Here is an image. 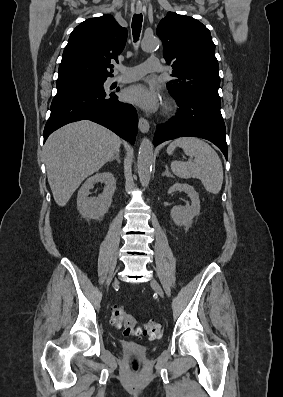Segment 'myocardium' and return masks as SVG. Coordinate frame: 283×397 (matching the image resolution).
Wrapping results in <instances>:
<instances>
[{
  "label": "myocardium",
  "instance_id": "obj_1",
  "mask_svg": "<svg viewBox=\"0 0 283 397\" xmlns=\"http://www.w3.org/2000/svg\"><path fill=\"white\" fill-rule=\"evenodd\" d=\"M166 110H167V111H171V110H172V106H171L170 104H167V105H166Z\"/></svg>",
  "mask_w": 283,
  "mask_h": 397
}]
</instances>
